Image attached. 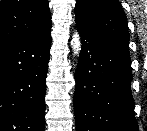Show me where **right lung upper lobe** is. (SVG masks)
Masks as SVG:
<instances>
[{"mask_svg":"<svg viewBox=\"0 0 147 131\" xmlns=\"http://www.w3.org/2000/svg\"><path fill=\"white\" fill-rule=\"evenodd\" d=\"M51 29L48 0L0 1V48Z\"/></svg>","mask_w":147,"mask_h":131,"instance_id":"1","label":"right lung upper lobe"}]
</instances>
